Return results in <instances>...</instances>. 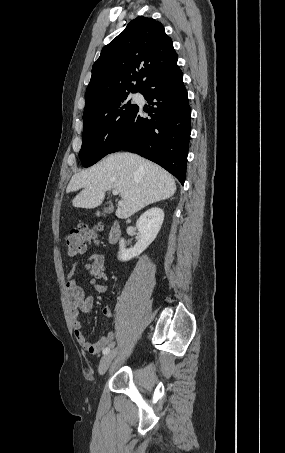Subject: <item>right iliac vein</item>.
<instances>
[{"instance_id":"obj_1","label":"right iliac vein","mask_w":285,"mask_h":453,"mask_svg":"<svg viewBox=\"0 0 285 453\" xmlns=\"http://www.w3.org/2000/svg\"><path fill=\"white\" fill-rule=\"evenodd\" d=\"M118 353V348L113 349L112 351L108 352L103 356V358L100 361L99 368H98V373L99 375H104L106 371L108 370L111 362L115 358V356Z\"/></svg>"}]
</instances>
